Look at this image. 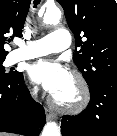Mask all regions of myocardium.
I'll list each match as a JSON object with an SVG mask.
<instances>
[{
  "label": "myocardium",
  "instance_id": "f54148a6",
  "mask_svg": "<svg viewBox=\"0 0 117 136\" xmlns=\"http://www.w3.org/2000/svg\"><path fill=\"white\" fill-rule=\"evenodd\" d=\"M70 76L73 81L74 88L72 99L63 100L57 96H52L51 103L59 111L78 113L84 110L90 102V88L86 79L80 72L73 71Z\"/></svg>",
  "mask_w": 117,
  "mask_h": 136
}]
</instances>
